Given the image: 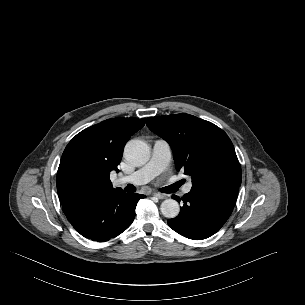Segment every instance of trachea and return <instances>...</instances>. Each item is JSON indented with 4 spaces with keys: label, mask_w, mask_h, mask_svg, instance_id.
Masks as SVG:
<instances>
[{
    "label": "trachea",
    "mask_w": 305,
    "mask_h": 305,
    "mask_svg": "<svg viewBox=\"0 0 305 305\" xmlns=\"http://www.w3.org/2000/svg\"><path fill=\"white\" fill-rule=\"evenodd\" d=\"M182 184H184V182H183L182 180H181V181H178V182L176 183V185H177L178 187L181 186ZM125 190H126L127 192H134V191L136 190V188H135L133 185L128 184Z\"/></svg>",
    "instance_id": "obj_1"
}]
</instances>
